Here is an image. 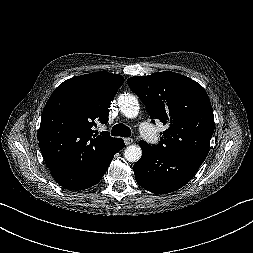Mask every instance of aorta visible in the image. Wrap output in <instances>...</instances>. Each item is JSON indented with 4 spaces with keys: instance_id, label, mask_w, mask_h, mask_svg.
<instances>
[{
    "instance_id": "1",
    "label": "aorta",
    "mask_w": 253,
    "mask_h": 253,
    "mask_svg": "<svg viewBox=\"0 0 253 253\" xmlns=\"http://www.w3.org/2000/svg\"><path fill=\"white\" fill-rule=\"evenodd\" d=\"M118 106L127 118H135L139 113V102L131 94H121L118 97ZM142 156V150L138 145H130L124 151V157L129 162H136Z\"/></svg>"
}]
</instances>
